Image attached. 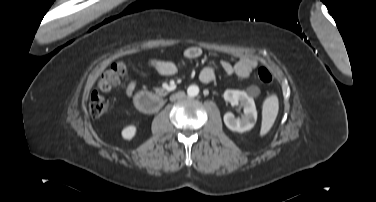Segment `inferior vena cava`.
Listing matches in <instances>:
<instances>
[{
	"mask_svg": "<svg viewBox=\"0 0 376 202\" xmlns=\"http://www.w3.org/2000/svg\"><path fill=\"white\" fill-rule=\"evenodd\" d=\"M181 96H183V93H178V94H176V96L173 97V98H178V97H181Z\"/></svg>",
	"mask_w": 376,
	"mask_h": 202,
	"instance_id": "1",
	"label": "inferior vena cava"
}]
</instances>
